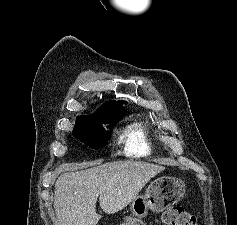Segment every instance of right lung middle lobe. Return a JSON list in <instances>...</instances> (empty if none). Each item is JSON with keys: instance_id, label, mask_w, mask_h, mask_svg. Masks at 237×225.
<instances>
[{"instance_id": "obj_1", "label": "right lung middle lobe", "mask_w": 237, "mask_h": 225, "mask_svg": "<svg viewBox=\"0 0 237 225\" xmlns=\"http://www.w3.org/2000/svg\"><path fill=\"white\" fill-rule=\"evenodd\" d=\"M124 115H113L108 112H96L85 124H76L74 136L92 149H99L109 140L111 133L103 124L115 125Z\"/></svg>"}]
</instances>
